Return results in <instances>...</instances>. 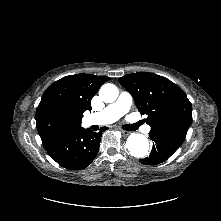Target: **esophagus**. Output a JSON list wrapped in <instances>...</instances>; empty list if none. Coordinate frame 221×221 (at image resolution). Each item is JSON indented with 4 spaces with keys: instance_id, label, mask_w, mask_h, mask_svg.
<instances>
[{
    "instance_id": "34e87169",
    "label": "esophagus",
    "mask_w": 221,
    "mask_h": 221,
    "mask_svg": "<svg viewBox=\"0 0 221 221\" xmlns=\"http://www.w3.org/2000/svg\"><path fill=\"white\" fill-rule=\"evenodd\" d=\"M121 132L124 134V135H129L131 132L130 131H126V130H123L121 129Z\"/></svg>"
}]
</instances>
